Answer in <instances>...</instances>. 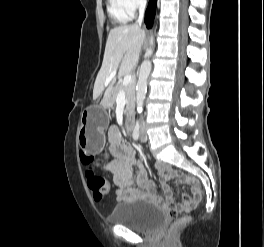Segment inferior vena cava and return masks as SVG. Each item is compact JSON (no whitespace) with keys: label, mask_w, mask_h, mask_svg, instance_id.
<instances>
[{"label":"inferior vena cava","mask_w":264,"mask_h":247,"mask_svg":"<svg viewBox=\"0 0 264 247\" xmlns=\"http://www.w3.org/2000/svg\"><path fill=\"white\" fill-rule=\"evenodd\" d=\"M138 5H139V18L136 21L137 25H141L143 22V18H144V12H145V7H146V0H139L138 1Z\"/></svg>","instance_id":"inferior-vena-cava-1"}]
</instances>
